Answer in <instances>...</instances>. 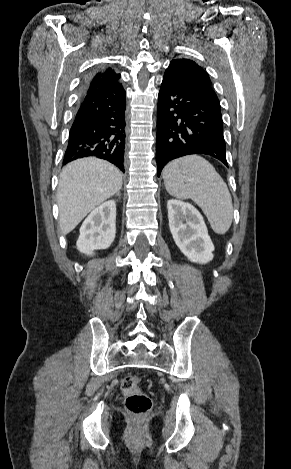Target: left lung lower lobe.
<instances>
[{
    "label": "left lung lower lobe",
    "mask_w": 291,
    "mask_h": 469,
    "mask_svg": "<svg viewBox=\"0 0 291 469\" xmlns=\"http://www.w3.org/2000/svg\"><path fill=\"white\" fill-rule=\"evenodd\" d=\"M219 101L164 74L158 96L156 161L160 176L171 160L206 154L228 166Z\"/></svg>",
    "instance_id": "1"
}]
</instances>
